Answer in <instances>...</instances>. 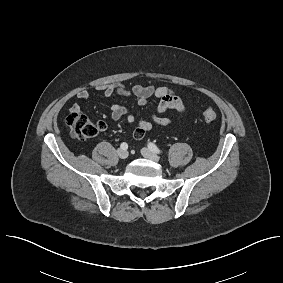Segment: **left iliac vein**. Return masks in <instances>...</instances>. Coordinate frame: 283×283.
Masks as SVG:
<instances>
[{
    "mask_svg": "<svg viewBox=\"0 0 283 283\" xmlns=\"http://www.w3.org/2000/svg\"><path fill=\"white\" fill-rule=\"evenodd\" d=\"M141 154L143 155V157L152 160L154 162H159L160 158L158 155L154 154L153 152H151L149 149L147 148H142L141 149Z\"/></svg>",
    "mask_w": 283,
    "mask_h": 283,
    "instance_id": "obj_1",
    "label": "left iliac vein"
}]
</instances>
